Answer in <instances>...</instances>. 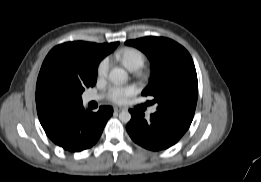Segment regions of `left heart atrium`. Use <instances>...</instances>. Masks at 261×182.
Returning <instances> with one entry per match:
<instances>
[{
  "label": "left heart atrium",
  "instance_id": "obj_1",
  "mask_svg": "<svg viewBox=\"0 0 261 182\" xmlns=\"http://www.w3.org/2000/svg\"><path fill=\"white\" fill-rule=\"evenodd\" d=\"M134 86L111 87L108 91V99L114 103L123 104L135 93Z\"/></svg>",
  "mask_w": 261,
  "mask_h": 182
}]
</instances>
